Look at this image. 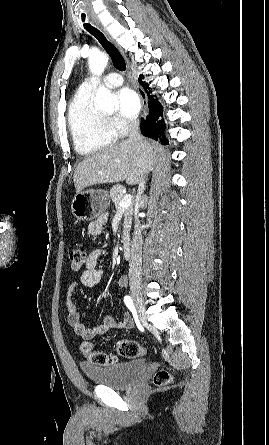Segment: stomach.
<instances>
[{"label":"stomach","instance_id":"1","mask_svg":"<svg viewBox=\"0 0 269 445\" xmlns=\"http://www.w3.org/2000/svg\"><path fill=\"white\" fill-rule=\"evenodd\" d=\"M110 205L105 190H91L77 193L72 200V214L80 221H92L103 214Z\"/></svg>","mask_w":269,"mask_h":445}]
</instances>
